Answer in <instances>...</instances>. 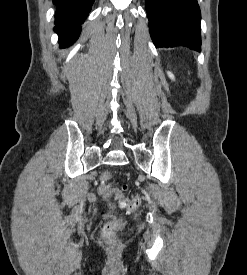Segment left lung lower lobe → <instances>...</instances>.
<instances>
[{"label":"left lung lower lobe","instance_id":"obj_1","mask_svg":"<svg viewBox=\"0 0 247 275\" xmlns=\"http://www.w3.org/2000/svg\"><path fill=\"white\" fill-rule=\"evenodd\" d=\"M150 35L156 48L185 46L201 51L197 0H146Z\"/></svg>","mask_w":247,"mask_h":275}]
</instances>
